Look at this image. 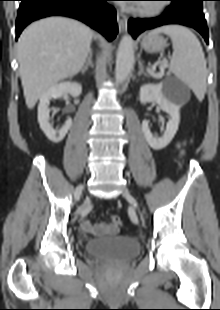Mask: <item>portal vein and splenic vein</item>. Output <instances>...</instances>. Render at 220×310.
Masks as SVG:
<instances>
[{"instance_id": "1", "label": "portal vein and splenic vein", "mask_w": 220, "mask_h": 310, "mask_svg": "<svg viewBox=\"0 0 220 310\" xmlns=\"http://www.w3.org/2000/svg\"><path fill=\"white\" fill-rule=\"evenodd\" d=\"M163 66H164V67L167 66V61H164V62H163ZM152 75H153L154 77H156V78H160V77L162 76L161 74H155V73H153Z\"/></svg>"}]
</instances>
